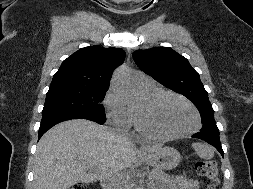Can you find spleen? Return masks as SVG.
<instances>
[{
  "label": "spleen",
  "mask_w": 253,
  "mask_h": 189,
  "mask_svg": "<svg viewBox=\"0 0 253 189\" xmlns=\"http://www.w3.org/2000/svg\"><path fill=\"white\" fill-rule=\"evenodd\" d=\"M192 147L196 154L202 159L210 160L214 157V150L208 144L196 142L192 144Z\"/></svg>",
  "instance_id": "3e777b00"
}]
</instances>
